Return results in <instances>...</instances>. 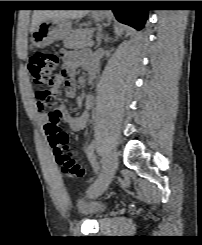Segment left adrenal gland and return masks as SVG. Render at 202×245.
<instances>
[{
  "instance_id": "obj_1",
  "label": "left adrenal gland",
  "mask_w": 202,
  "mask_h": 245,
  "mask_svg": "<svg viewBox=\"0 0 202 245\" xmlns=\"http://www.w3.org/2000/svg\"><path fill=\"white\" fill-rule=\"evenodd\" d=\"M102 38H103V35H99L97 47L101 45V43H102Z\"/></svg>"
}]
</instances>
